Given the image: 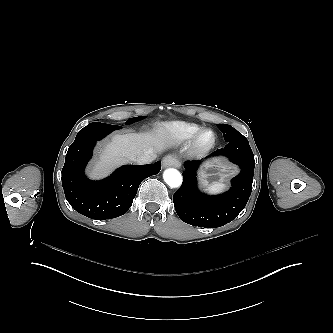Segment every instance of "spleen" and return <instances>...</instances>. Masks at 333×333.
Masks as SVG:
<instances>
[{"label": "spleen", "mask_w": 333, "mask_h": 333, "mask_svg": "<svg viewBox=\"0 0 333 333\" xmlns=\"http://www.w3.org/2000/svg\"><path fill=\"white\" fill-rule=\"evenodd\" d=\"M221 182H222V180H219V181H216V182L210 184V186H209L210 190H212V191L221 190L224 187V184Z\"/></svg>", "instance_id": "1"}]
</instances>
